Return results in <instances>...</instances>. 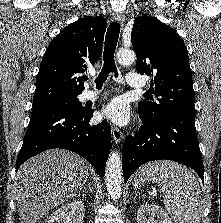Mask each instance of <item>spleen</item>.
<instances>
[{"instance_id": "obj_1", "label": "spleen", "mask_w": 221, "mask_h": 223, "mask_svg": "<svg viewBox=\"0 0 221 223\" xmlns=\"http://www.w3.org/2000/svg\"><path fill=\"white\" fill-rule=\"evenodd\" d=\"M155 181L166 190L164 205L175 223H200L202 212L199 184L190 170L172 161H155L136 173L134 187Z\"/></svg>"}]
</instances>
